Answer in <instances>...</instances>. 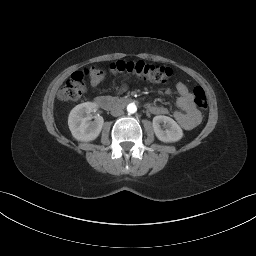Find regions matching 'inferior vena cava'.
Returning <instances> with one entry per match:
<instances>
[{
	"instance_id": "inferior-vena-cava-1",
	"label": "inferior vena cava",
	"mask_w": 256,
	"mask_h": 256,
	"mask_svg": "<svg viewBox=\"0 0 256 256\" xmlns=\"http://www.w3.org/2000/svg\"><path fill=\"white\" fill-rule=\"evenodd\" d=\"M124 114V111L122 108L120 107H114L112 110H111V115L114 116V117H117V116H121Z\"/></svg>"
}]
</instances>
